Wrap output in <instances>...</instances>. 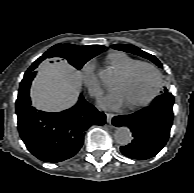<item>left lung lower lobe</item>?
Returning <instances> with one entry per match:
<instances>
[{
  "instance_id": "0a47b994",
  "label": "left lung lower lobe",
  "mask_w": 194,
  "mask_h": 193,
  "mask_svg": "<svg viewBox=\"0 0 194 193\" xmlns=\"http://www.w3.org/2000/svg\"><path fill=\"white\" fill-rule=\"evenodd\" d=\"M116 127L126 126L132 141L121 146V152L132 159L145 160L155 156L166 144L173 123V95L164 93L152 105L129 115L115 116Z\"/></svg>"
}]
</instances>
